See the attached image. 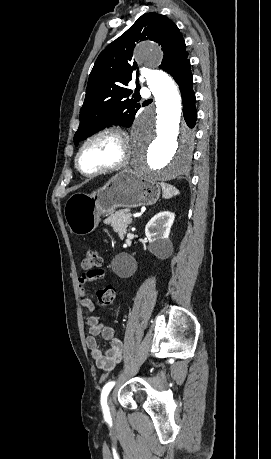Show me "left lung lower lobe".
<instances>
[{
    "mask_svg": "<svg viewBox=\"0 0 271 459\" xmlns=\"http://www.w3.org/2000/svg\"><path fill=\"white\" fill-rule=\"evenodd\" d=\"M171 76L179 85L185 121L190 128H193L197 119V110L195 107V93L192 89L193 76L190 69V60L188 58L183 60L171 73Z\"/></svg>",
    "mask_w": 271,
    "mask_h": 459,
    "instance_id": "obj_1",
    "label": "left lung lower lobe"
}]
</instances>
